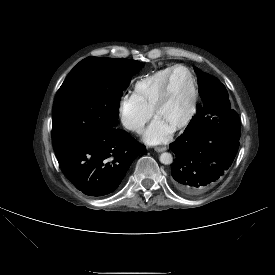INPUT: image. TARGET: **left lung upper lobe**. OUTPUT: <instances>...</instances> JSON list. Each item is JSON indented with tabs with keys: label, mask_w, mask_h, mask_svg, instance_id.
<instances>
[{
	"label": "left lung upper lobe",
	"mask_w": 275,
	"mask_h": 275,
	"mask_svg": "<svg viewBox=\"0 0 275 275\" xmlns=\"http://www.w3.org/2000/svg\"><path fill=\"white\" fill-rule=\"evenodd\" d=\"M195 72L203 105L199 107L197 114L191 119L183 134L190 135L206 128L219 127L235 136H240L239 116L231 108L225 86L215 77L203 73L196 67Z\"/></svg>",
	"instance_id": "5c2ea615"
}]
</instances>
